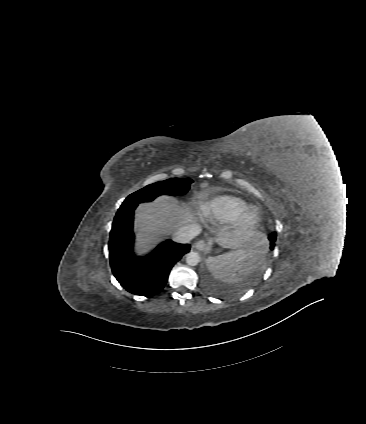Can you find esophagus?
Here are the masks:
<instances>
[{"instance_id":"34e87169","label":"esophagus","mask_w":366,"mask_h":424,"mask_svg":"<svg viewBox=\"0 0 366 424\" xmlns=\"http://www.w3.org/2000/svg\"><path fill=\"white\" fill-rule=\"evenodd\" d=\"M194 247L198 250V251H206L208 249V244L204 241V240H199L195 243Z\"/></svg>"}]
</instances>
